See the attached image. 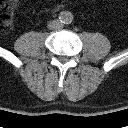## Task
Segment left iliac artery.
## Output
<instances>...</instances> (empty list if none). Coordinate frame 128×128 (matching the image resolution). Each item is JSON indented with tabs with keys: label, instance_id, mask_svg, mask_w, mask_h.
<instances>
[{
	"label": "left iliac artery",
	"instance_id": "1",
	"mask_svg": "<svg viewBox=\"0 0 128 128\" xmlns=\"http://www.w3.org/2000/svg\"><path fill=\"white\" fill-rule=\"evenodd\" d=\"M72 19H73L72 16L68 15V17L66 18V22L71 23Z\"/></svg>",
	"mask_w": 128,
	"mask_h": 128
}]
</instances>
